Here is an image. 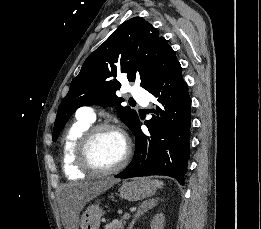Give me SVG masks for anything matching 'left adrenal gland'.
Listing matches in <instances>:
<instances>
[{
	"label": "left adrenal gland",
	"instance_id": "left-adrenal-gland-1",
	"mask_svg": "<svg viewBox=\"0 0 261 229\" xmlns=\"http://www.w3.org/2000/svg\"><path fill=\"white\" fill-rule=\"evenodd\" d=\"M158 201L157 199H149V201H143V203H141L138 211H136V215H134L130 225H128V229H133L134 225H135V221H137V219H139L140 215H143V213H146V211H148V209H152V207H156Z\"/></svg>",
	"mask_w": 261,
	"mask_h": 229
}]
</instances>
